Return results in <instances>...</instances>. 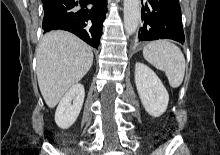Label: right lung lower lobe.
<instances>
[{"label":"right lung lower lobe","mask_w":220,"mask_h":155,"mask_svg":"<svg viewBox=\"0 0 220 155\" xmlns=\"http://www.w3.org/2000/svg\"><path fill=\"white\" fill-rule=\"evenodd\" d=\"M44 9L43 29L67 30L92 47L97 48L102 35L103 21L106 18L107 0H83L77 8L75 0H42ZM93 7L87 9L86 5Z\"/></svg>","instance_id":"98d812e1"}]
</instances>
